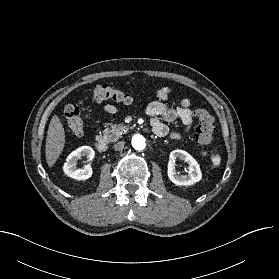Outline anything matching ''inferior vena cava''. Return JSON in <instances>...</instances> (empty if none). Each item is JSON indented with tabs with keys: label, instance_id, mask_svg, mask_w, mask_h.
I'll return each mask as SVG.
<instances>
[{
	"label": "inferior vena cava",
	"instance_id": "1",
	"mask_svg": "<svg viewBox=\"0 0 279 279\" xmlns=\"http://www.w3.org/2000/svg\"><path fill=\"white\" fill-rule=\"evenodd\" d=\"M124 145H125V142L124 141H120V142L116 143L113 146V148H114L115 151H121V150H123Z\"/></svg>",
	"mask_w": 279,
	"mask_h": 279
}]
</instances>
